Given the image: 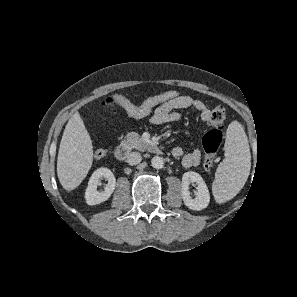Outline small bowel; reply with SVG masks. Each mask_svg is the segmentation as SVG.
<instances>
[{
    "mask_svg": "<svg viewBox=\"0 0 297 297\" xmlns=\"http://www.w3.org/2000/svg\"><path fill=\"white\" fill-rule=\"evenodd\" d=\"M122 106L130 116L135 118L145 117L152 112L150 121L155 125L178 121L181 118V110L189 108L197 110L203 122H207L210 115L208 106L202 100L189 95H180L174 100L161 103L145 112L142 111L141 104L136 105L133 102H124ZM172 155L174 157H182V165L185 168L197 167L201 161L199 148H194L184 154L181 147H175L172 149Z\"/></svg>",
    "mask_w": 297,
    "mask_h": 297,
    "instance_id": "small-bowel-1",
    "label": "small bowel"
}]
</instances>
